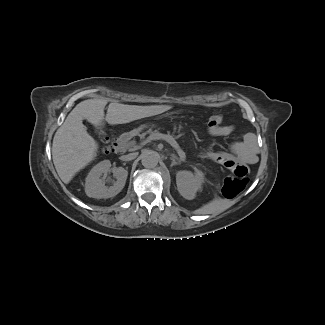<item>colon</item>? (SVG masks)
I'll use <instances>...</instances> for the list:
<instances>
[{
	"instance_id": "1",
	"label": "colon",
	"mask_w": 325,
	"mask_h": 325,
	"mask_svg": "<svg viewBox=\"0 0 325 325\" xmlns=\"http://www.w3.org/2000/svg\"><path fill=\"white\" fill-rule=\"evenodd\" d=\"M222 118L220 116H211L208 120V126L217 128L221 126ZM104 142L107 144L106 150L114 149V142L108 137H104ZM249 182V169L245 165H236L231 176L225 179L222 187V193L227 198H234L241 193Z\"/></svg>"
}]
</instances>
